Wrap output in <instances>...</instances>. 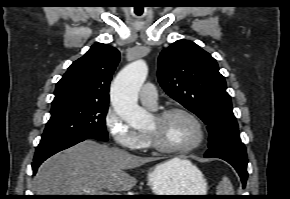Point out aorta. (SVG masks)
I'll list each match as a JSON object with an SVG mask.
<instances>
[{
  "mask_svg": "<svg viewBox=\"0 0 290 199\" xmlns=\"http://www.w3.org/2000/svg\"><path fill=\"white\" fill-rule=\"evenodd\" d=\"M148 67L136 60L122 69L111 85V103L116 113L135 129L146 127L149 113L137 104L138 92L146 80Z\"/></svg>",
  "mask_w": 290,
  "mask_h": 199,
  "instance_id": "aorta-1",
  "label": "aorta"
}]
</instances>
